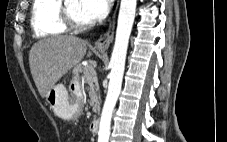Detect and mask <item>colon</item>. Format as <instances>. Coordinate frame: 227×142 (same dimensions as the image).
Here are the masks:
<instances>
[{"label":"colon","instance_id":"5ec220e1","mask_svg":"<svg viewBox=\"0 0 227 142\" xmlns=\"http://www.w3.org/2000/svg\"><path fill=\"white\" fill-rule=\"evenodd\" d=\"M73 142H81V141H79V140H75V141H73Z\"/></svg>","mask_w":227,"mask_h":142}]
</instances>
